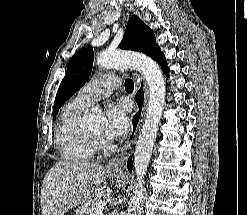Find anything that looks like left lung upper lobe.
Segmentation results:
<instances>
[{
	"label": "left lung upper lobe",
	"mask_w": 247,
	"mask_h": 215,
	"mask_svg": "<svg viewBox=\"0 0 247 215\" xmlns=\"http://www.w3.org/2000/svg\"><path fill=\"white\" fill-rule=\"evenodd\" d=\"M119 47L125 50L142 52L150 57L159 48L155 44L153 31L137 16H132L129 19L125 35ZM93 59V48L89 45L80 49L70 59L66 75L55 98L53 119H55L64 102L87 82L92 70Z\"/></svg>",
	"instance_id": "left-lung-upper-lobe-1"
}]
</instances>
